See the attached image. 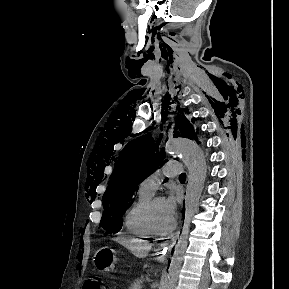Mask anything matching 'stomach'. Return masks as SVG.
I'll return each instance as SVG.
<instances>
[{
	"mask_svg": "<svg viewBox=\"0 0 289 289\" xmlns=\"http://www.w3.org/2000/svg\"><path fill=\"white\" fill-rule=\"evenodd\" d=\"M116 255L117 252L109 247H103L96 252L94 260L100 272L107 273L114 270Z\"/></svg>",
	"mask_w": 289,
	"mask_h": 289,
	"instance_id": "obj_1",
	"label": "stomach"
}]
</instances>
